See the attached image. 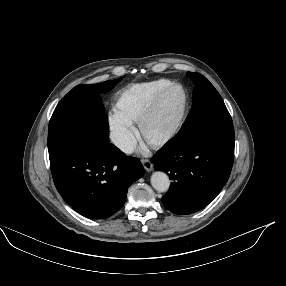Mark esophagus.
<instances>
[{
	"label": "esophagus",
	"instance_id": "obj_1",
	"mask_svg": "<svg viewBox=\"0 0 286 286\" xmlns=\"http://www.w3.org/2000/svg\"><path fill=\"white\" fill-rule=\"evenodd\" d=\"M141 162L146 171L150 172L153 170V163L150 160L142 159Z\"/></svg>",
	"mask_w": 286,
	"mask_h": 286
}]
</instances>
